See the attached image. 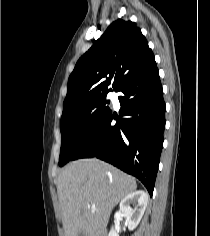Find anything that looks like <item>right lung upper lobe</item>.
Listing matches in <instances>:
<instances>
[{
  "label": "right lung upper lobe",
  "instance_id": "obj_1",
  "mask_svg": "<svg viewBox=\"0 0 210 236\" xmlns=\"http://www.w3.org/2000/svg\"><path fill=\"white\" fill-rule=\"evenodd\" d=\"M155 64L154 54L136 23L121 19L113 22L76 63L68 79L63 113L111 91V76L116 91L125 81Z\"/></svg>",
  "mask_w": 210,
  "mask_h": 236
}]
</instances>
